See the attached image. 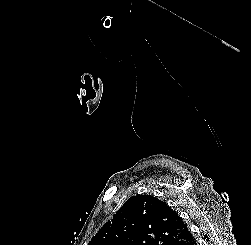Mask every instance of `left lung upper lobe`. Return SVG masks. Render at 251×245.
I'll use <instances>...</instances> for the list:
<instances>
[{
	"label": "left lung upper lobe",
	"mask_w": 251,
	"mask_h": 245,
	"mask_svg": "<svg viewBox=\"0 0 251 245\" xmlns=\"http://www.w3.org/2000/svg\"><path fill=\"white\" fill-rule=\"evenodd\" d=\"M187 225L165 202L136 195L114 214L88 245H171Z\"/></svg>",
	"instance_id": "left-lung-upper-lobe-1"
}]
</instances>
